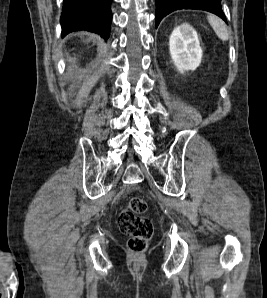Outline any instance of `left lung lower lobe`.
<instances>
[{
	"mask_svg": "<svg viewBox=\"0 0 267 298\" xmlns=\"http://www.w3.org/2000/svg\"><path fill=\"white\" fill-rule=\"evenodd\" d=\"M156 14L155 22L158 27L161 19L169 13L180 9H200L214 13L221 17L225 22L221 8V0H155Z\"/></svg>",
	"mask_w": 267,
	"mask_h": 298,
	"instance_id": "obj_1",
	"label": "left lung lower lobe"
}]
</instances>
